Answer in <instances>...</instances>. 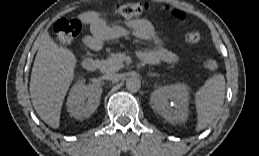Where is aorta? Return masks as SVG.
I'll use <instances>...</instances> for the list:
<instances>
[{"mask_svg": "<svg viewBox=\"0 0 259 156\" xmlns=\"http://www.w3.org/2000/svg\"><path fill=\"white\" fill-rule=\"evenodd\" d=\"M141 87V81L136 77L128 78L126 81V88L130 92H137Z\"/></svg>", "mask_w": 259, "mask_h": 156, "instance_id": "aorta-1", "label": "aorta"}]
</instances>
